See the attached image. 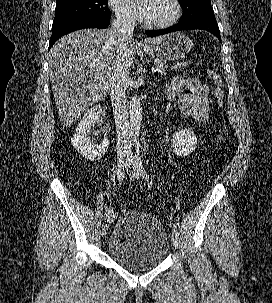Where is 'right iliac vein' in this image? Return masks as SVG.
<instances>
[{"label":"right iliac vein","instance_id":"1","mask_svg":"<svg viewBox=\"0 0 272 303\" xmlns=\"http://www.w3.org/2000/svg\"><path fill=\"white\" fill-rule=\"evenodd\" d=\"M126 164H127L126 158H125L124 156H120V157L118 158V169L124 168V167L126 166ZM107 231H108V226L103 227L102 233H101L102 237H105V236H106Z\"/></svg>","mask_w":272,"mask_h":303}]
</instances>
